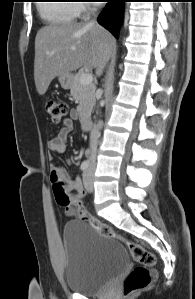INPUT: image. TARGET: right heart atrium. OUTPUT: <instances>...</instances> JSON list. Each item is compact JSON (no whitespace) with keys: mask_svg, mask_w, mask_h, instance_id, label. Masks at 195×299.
Returning <instances> with one entry per match:
<instances>
[{"mask_svg":"<svg viewBox=\"0 0 195 299\" xmlns=\"http://www.w3.org/2000/svg\"><path fill=\"white\" fill-rule=\"evenodd\" d=\"M87 10H88V7H86L84 5H81L80 7H78V13L79 12L85 13V12H87Z\"/></svg>","mask_w":195,"mask_h":299,"instance_id":"obj_1","label":"right heart atrium"}]
</instances>
